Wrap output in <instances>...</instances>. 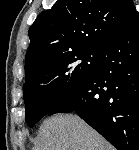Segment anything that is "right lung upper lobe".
Listing matches in <instances>:
<instances>
[{
    "instance_id": "right-lung-upper-lobe-1",
    "label": "right lung upper lobe",
    "mask_w": 139,
    "mask_h": 150,
    "mask_svg": "<svg viewBox=\"0 0 139 150\" xmlns=\"http://www.w3.org/2000/svg\"><path fill=\"white\" fill-rule=\"evenodd\" d=\"M135 12L132 0H58L29 29L26 76L57 56L101 50Z\"/></svg>"
}]
</instances>
